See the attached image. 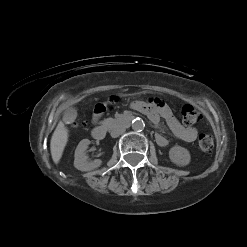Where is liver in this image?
Returning <instances> with one entry per match:
<instances>
[{
  "label": "liver",
  "instance_id": "6515ba94",
  "mask_svg": "<svg viewBox=\"0 0 247 247\" xmlns=\"http://www.w3.org/2000/svg\"><path fill=\"white\" fill-rule=\"evenodd\" d=\"M68 132V129L62 121L58 123L55 131L53 132L50 142V150L55 164H58L62 157L64 148L68 141Z\"/></svg>",
  "mask_w": 247,
  "mask_h": 247
}]
</instances>
